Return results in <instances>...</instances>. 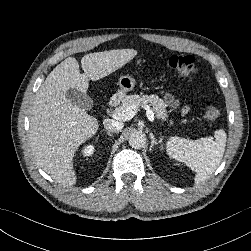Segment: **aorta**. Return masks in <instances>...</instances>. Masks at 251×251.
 <instances>
[{
  "label": "aorta",
  "mask_w": 251,
  "mask_h": 251,
  "mask_svg": "<svg viewBox=\"0 0 251 251\" xmlns=\"http://www.w3.org/2000/svg\"><path fill=\"white\" fill-rule=\"evenodd\" d=\"M129 145L134 148V149H140L143 148L146 142V137L145 134H143L142 132H133L130 136H129Z\"/></svg>",
  "instance_id": "762f6f07"
}]
</instances>
